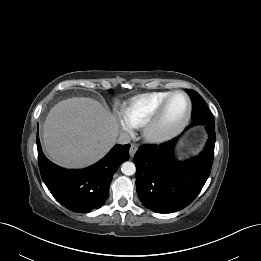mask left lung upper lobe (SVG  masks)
I'll return each instance as SVG.
<instances>
[{
    "mask_svg": "<svg viewBox=\"0 0 261 261\" xmlns=\"http://www.w3.org/2000/svg\"><path fill=\"white\" fill-rule=\"evenodd\" d=\"M192 100V124L214 123L204 99L194 90L186 89Z\"/></svg>",
    "mask_w": 261,
    "mask_h": 261,
    "instance_id": "5c2ea615",
    "label": "left lung upper lobe"
}]
</instances>
